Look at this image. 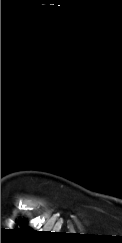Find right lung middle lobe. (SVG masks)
<instances>
[{
  "label": "right lung middle lobe",
  "mask_w": 122,
  "mask_h": 243,
  "mask_svg": "<svg viewBox=\"0 0 122 243\" xmlns=\"http://www.w3.org/2000/svg\"><path fill=\"white\" fill-rule=\"evenodd\" d=\"M18 231H30V229H28V228H21V229H18Z\"/></svg>",
  "instance_id": "dd1d6c3e"
}]
</instances>
